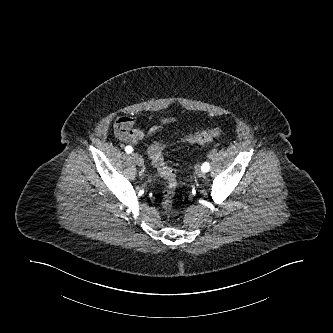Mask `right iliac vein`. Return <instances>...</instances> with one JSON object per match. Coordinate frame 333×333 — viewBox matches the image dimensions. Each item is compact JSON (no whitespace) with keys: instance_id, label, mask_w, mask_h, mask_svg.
I'll use <instances>...</instances> for the list:
<instances>
[{"instance_id":"obj_1","label":"right iliac vein","mask_w":333,"mask_h":333,"mask_svg":"<svg viewBox=\"0 0 333 333\" xmlns=\"http://www.w3.org/2000/svg\"><path fill=\"white\" fill-rule=\"evenodd\" d=\"M132 158L134 159L135 163L138 166H142L144 164L143 158L140 155H138L137 153H133Z\"/></svg>"}]
</instances>
